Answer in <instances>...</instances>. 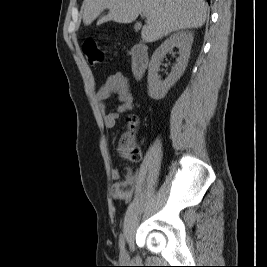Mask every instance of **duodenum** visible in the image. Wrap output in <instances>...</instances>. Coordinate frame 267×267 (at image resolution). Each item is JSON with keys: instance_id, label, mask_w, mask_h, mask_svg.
Masks as SVG:
<instances>
[{"instance_id": "obj_1", "label": "duodenum", "mask_w": 267, "mask_h": 267, "mask_svg": "<svg viewBox=\"0 0 267 267\" xmlns=\"http://www.w3.org/2000/svg\"><path fill=\"white\" fill-rule=\"evenodd\" d=\"M148 48L145 44H137L131 51V69L135 77L140 78L148 66Z\"/></svg>"}]
</instances>
